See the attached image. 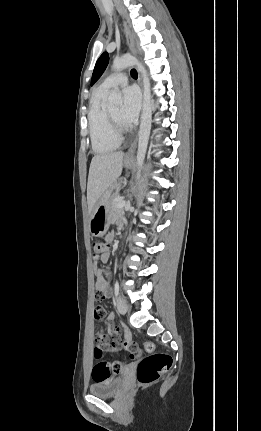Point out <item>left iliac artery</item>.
Listing matches in <instances>:
<instances>
[{
	"label": "left iliac artery",
	"instance_id": "obj_1",
	"mask_svg": "<svg viewBox=\"0 0 261 431\" xmlns=\"http://www.w3.org/2000/svg\"><path fill=\"white\" fill-rule=\"evenodd\" d=\"M114 293H115V297H117L119 294V283H118V281H116V283H115Z\"/></svg>",
	"mask_w": 261,
	"mask_h": 431
}]
</instances>
